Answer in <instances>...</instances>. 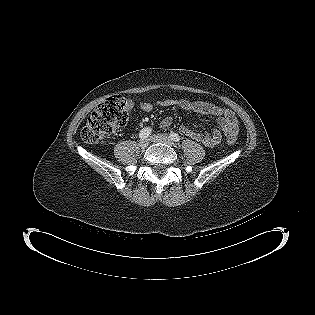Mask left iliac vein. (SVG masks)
<instances>
[{
  "mask_svg": "<svg viewBox=\"0 0 315 315\" xmlns=\"http://www.w3.org/2000/svg\"><path fill=\"white\" fill-rule=\"evenodd\" d=\"M150 140L152 142H161V143H166L168 145H173V141L170 139L169 136L165 135V134H156V135H152L150 137Z\"/></svg>",
  "mask_w": 315,
  "mask_h": 315,
  "instance_id": "left-iliac-vein-1",
  "label": "left iliac vein"
}]
</instances>
